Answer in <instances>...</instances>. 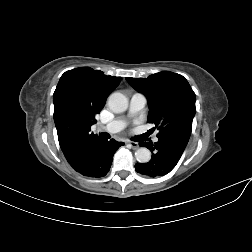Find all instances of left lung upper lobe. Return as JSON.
<instances>
[{"label": "left lung upper lobe", "mask_w": 252, "mask_h": 252, "mask_svg": "<svg viewBox=\"0 0 252 252\" xmlns=\"http://www.w3.org/2000/svg\"><path fill=\"white\" fill-rule=\"evenodd\" d=\"M143 93L150 107L148 122L159 129L157 137H172L188 143L196 112L195 93L180 74L162 71L148 78L126 77Z\"/></svg>", "instance_id": "obj_1"}]
</instances>
